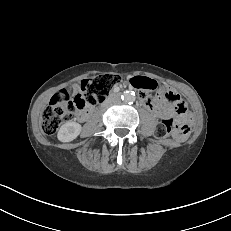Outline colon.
Masks as SVG:
<instances>
[{"mask_svg":"<svg viewBox=\"0 0 231 231\" xmlns=\"http://www.w3.org/2000/svg\"><path fill=\"white\" fill-rule=\"evenodd\" d=\"M121 81L117 74H102L82 80L76 85L78 93L71 97L68 92L57 93L50 101L48 108L41 118V129L45 134H53L65 121L73 119L78 112L89 107H94L106 99L111 90ZM132 85L142 93H148L155 87V82L144 77H137L132 80ZM161 97L168 102L173 98L166 90H163ZM178 121L174 117H164L156 127V136L167 138L171 135L183 139L190 133V126L185 120L187 110L179 103L176 107Z\"/></svg>","mask_w":231,"mask_h":231,"instance_id":"obj_1","label":"colon"}]
</instances>
